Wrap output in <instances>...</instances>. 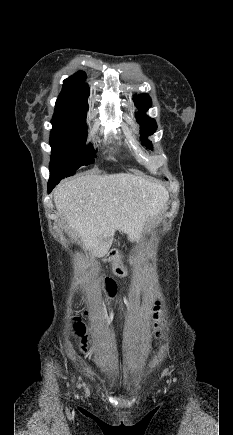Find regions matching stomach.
Returning a JSON list of instances; mask_svg holds the SVG:
<instances>
[{
    "instance_id": "0dacf381",
    "label": "stomach",
    "mask_w": 233,
    "mask_h": 435,
    "mask_svg": "<svg viewBox=\"0 0 233 435\" xmlns=\"http://www.w3.org/2000/svg\"><path fill=\"white\" fill-rule=\"evenodd\" d=\"M113 272L118 277H126L128 275V270L120 259L114 263Z\"/></svg>"
}]
</instances>
